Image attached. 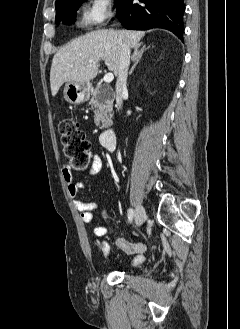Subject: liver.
Wrapping results in <instances>:
<instances>
[{"instance_id": "6515ba94", "label": "liver", "mask_w": 240, "mask_h": 329, "mask_svg": "<svg viewBox=\"0 0 240 329\" xmlns=\"http://www.w3.org/2000/svg\"><path fill=\"white\" fill-rule=\"evenodd\" d=\"M144 35L142 31L104 29L74 39L53 57L50 70L52 96L65 82L89 83L97 76L101 60L105 61L109 71L117 75L121 43H127L129 48H138Z\"/></svg>"}]
</instances>
